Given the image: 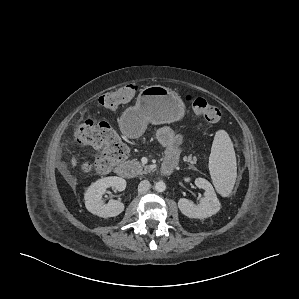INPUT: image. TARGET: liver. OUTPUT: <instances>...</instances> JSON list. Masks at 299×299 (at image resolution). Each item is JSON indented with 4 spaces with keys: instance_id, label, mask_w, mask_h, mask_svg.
I'll use <instances>...</instances> for the list:
<instances>
[{
    "instance_id": "1",
    "label": "liver",
    "mask_w": 299,
    "mask_h": 299,
    "mask_svg": "<svg viewBox=\"0 0 299 299\" xmlns=\"http://www.w3.org/2000/svg\"><path fill=\"white\" fill-rule=\"evenodd\" d=\"M72 165H73V166L76 165V160H75V159L72 160Z\"/></svg>"
}]
</instances>
